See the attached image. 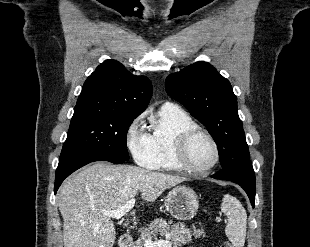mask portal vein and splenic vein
Segmentation results:
<instances>
[{
    "instance_id": "obj_1",
    "label": "portal vein and splenic vein",
    "mask_w": 310,
    "mask_h": 247,
    "mask_svg": "<svg viewBox=\"0 0 310 247\" xmlns=\"http://www.w3.org/2000/svg\"><path fill=\"white\" fill-rule=\"evenodd\" d=\"M135 205V198L130 199L124 206L110 211H104L103 214L109 218L121 220ZM145 247H170V242L167 240L153 241L151 239L145 240Z\"/></svg>"
}]
</instances>
